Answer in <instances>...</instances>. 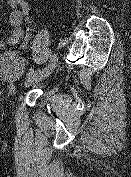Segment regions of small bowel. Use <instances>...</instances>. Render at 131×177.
Here are the masks:
<instances>
[{"mask_svg":"<svg viewBox=\"0 0 131 177\" xmlns=\"http://www.w3.org/2000/svg\"><path fill=\"white\" fill-rule=\"evenodd\" d=\"M10 6L9 16V36L6 40L0 39V49L5 46H13L23 41V47L26 46L31 35L30 6L27 0H7ZM23 23L27 26L24 29Z\"/></svg>","mask_w":131,"mask_h":177,"instance_id":"small-bowel-1","label":"small bowel"}]
</instances>
